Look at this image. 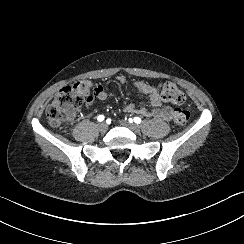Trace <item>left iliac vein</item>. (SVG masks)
<instances>
[{
  "instance_id": "1",
  "label": "left iliac vein",
  "mask_w": 244,
  "mask_h": 244,
  "mask_svg": "<svg viewBox=\"0 0 244 244\" xmlns=\"http://www.w3.org/2000/svg\"><path fill=\"white\" fill-rule=\"evenodd\" d=\"M119 123L124 126V127H127L129 128L131 131L137 133L139 131V126H137L136 124L134 123H129L128 121L126 120H120Z\"/></svg>"
}]
</instances>
